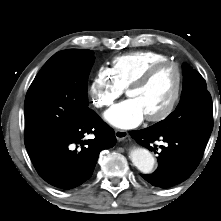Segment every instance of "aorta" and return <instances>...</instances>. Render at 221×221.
<instances>
[{"label":"aorta","mask_w":221,"mask_h":221,"mask_svg":"<svg viewBox=\"0 0 221 221\" xmlns=\"http://www.w3.org/2000/svg\"><path fill=\"white\" fill-rule=\"evenodd\" d=\"M129 157L132 163L143 173L152 172L155 164V158L145 148H133Z\"/></svg>","instance_id":"762f6f07"}]
</instances>
